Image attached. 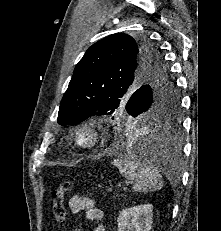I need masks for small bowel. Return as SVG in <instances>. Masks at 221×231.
Returning a JSON list of instances; mask_svg holds the SVG:
<instances>
[{
    "instance_id": "c3829d8e",
    "label": "small bowel",
    "mask_w": 221,
    "mask_h": 231,
    "mask_svg": "<svg viewBox=\"0 0 221 231\" xmlns=\"http://www.w3.org/2000/svg\"><path fill=\"white\" fill-rule=\"evenodd\" d=\"M69 207L73 213L85 212L87 219L91 221L101 222L104 218L102 210L91 197L75 195L71 197ZM93 231H105V227L99 223Z\"/></svg>"
}]
</instances>
